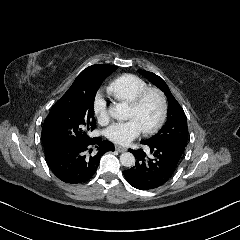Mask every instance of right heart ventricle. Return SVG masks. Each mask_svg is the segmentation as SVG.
<instances>
[{"instance_id": "e07e8e85", "label": "right heart ventricle", "mask_w": 240, "mask_h": 240, "mask_svg": "<svg viewBox=\"0 0 240 240\" xmlns=\"http://www.w3.org/2000/svg\"><path fill=\"white\" fill-rule=\"evenodd\" d=\"M147 83L133 74L122 75L113 80L107 87V93L119 104L128 105Z\"/></svg>"}]
</instances>
